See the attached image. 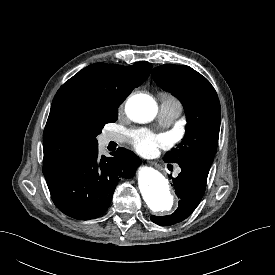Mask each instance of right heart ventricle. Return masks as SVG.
Segmentation results:
<instances>
[{"label": "right heart ventricle", "instance_id": "obj_1", "mask_svg": "<svg viewBox=\"0 0 275 275\" xmlns=\"http://www.w3.org/2000/svg\"><path fill=\"white\" fill-rule=\"evenodd\" d=\"M162 102L179 104L178 101L176 100V98L169 93L162 94Z\"/></svg>", "mask_w": 275, "mask_h": 275}]
</instances>
